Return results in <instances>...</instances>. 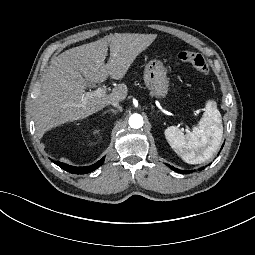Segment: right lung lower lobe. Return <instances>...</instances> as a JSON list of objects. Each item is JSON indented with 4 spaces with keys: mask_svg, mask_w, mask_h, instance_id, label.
I'll return each instance as SVG.
<instances>
[{
    "mask_svg": "<svg viewBox=\"0 0 255 255\" xmlns=\"http://www.w3.org/2000/svg\"><path fill=\"white\" fill-rule=\"evenodd\" d=\"M103 162H104V157L93 165L85 166V167H74L62 162L54 161V163L60 166L62 169L73 174H86V173L92 172L98 167H100L103 164Z\"/></svg>",
    "mask_w": 255,
    "mask_h": 255,
    "instance_id": "right-lung-lower-lobe-1",
    "label": "right lung lower lobe"
}]
</instances>
